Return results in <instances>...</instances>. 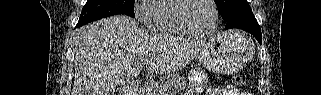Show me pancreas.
Listing matches in <instances>:
<instances>
[{"label": "pancreas", "instance_id": "1", "mask_svg": "<svg viewBox=\"0 0 321 95\" xmlns=\"http://www.w3.org/2000/svg\"><path fill=\"white\" fill-rule=\"evenodd\" d=\"M186 86L185 77L177 73H169L161 80L148 84L145 89L146 95H172L184 89Z\"/></svg>", "mask_w": 321, "mask_h": 95}]
</instances>
